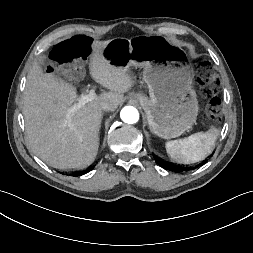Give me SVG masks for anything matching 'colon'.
I'll use <instances>...</instances> for the list:
<instances>
[{
	"label": "colon",
	"instance_id": "5ec220e1",
	"mask_svg": "<svg viewBox=\"0 0 253 253\" xmlns=\"http://www.w3.org/2000/svg\"><path fill=\"white\" fill-rule=\"evenodd\" d=\"M91 41L86 36H74L57 44L52 51L53 60L59 65H69L82 62L90 53ZM202 74L199 77V86L203 96L208 100L204 121L207 125L215 123L220 117V100L218 90L219 78L202 65Z\"/></svg>",
	"mask_w": 253,
	"mask_h": 253
}]
</instances>
